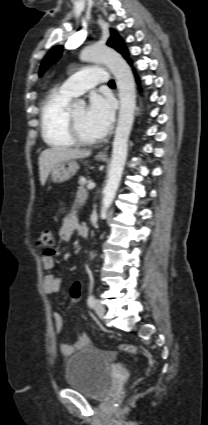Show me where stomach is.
<instances>
[{
    "label": "stomach",
    "instance_id": "stomach-1",
    "mask_svg": "<svg viewBox=\"0 0 208 425\" xmlns=\"http://www.w3.org/2000/svg\"><path fill=\"white\" fill-rule=\"evenodd\" d=\"M103 161L104 159H98ZM79 165L75 160L61 161L55 165L51 171L52 181L63 183L70 180L78 171Z\"/></svg>",
    "mask_w": 208,
    "mask_h": 425
}]
</instances>
